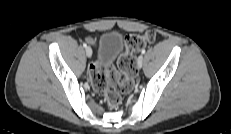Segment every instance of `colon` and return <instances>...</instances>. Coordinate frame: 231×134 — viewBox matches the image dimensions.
I'll return each instance as SVG.
<instances>
[{"label":"colon","mask_w":231,"mask_h":134,"mask_svg":"<svg viewBox=\"0 0 231 134\" xmlns=\"http://www.w3.org/2000/svg\"><path fill=\"white\" fill-rule=\"evenodd\" d=\"M155 38L156 35L152 31L142 35L128 34L125 37L126 51L119 57L118 68L110 66L105 71H102L97 62L89 66L90 83L95 91L103 95L109 107H118L123 95L133 89L137 75L134 54L147 44L152 43Z\"/></svg>","instance_id":"5ec220e1"}]
</instances>
